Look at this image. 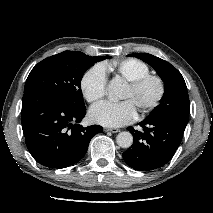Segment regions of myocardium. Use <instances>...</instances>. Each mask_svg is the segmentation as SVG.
<instances>
[{"instance_id": "obj_1", "label": "myocardium", "mask_w": 213, "mask_h": 213, "mask_svg": "<svg viewBox=\"0 0 213 213\" xmlns=\"http://www.w3.org/2000/svg\"><path fill=\"white\" fill-rule=\"evenodd\" d=\"M149 83H153L156 86V93L151 100L143 104L139 111L141 114H145L153 110L161 102L165 94V84L161 77L157 75L147 74L140 78H137L129 82L128 87L134 92L141 90Z\"/></svg>"}]
</instances>
